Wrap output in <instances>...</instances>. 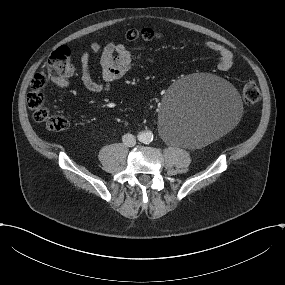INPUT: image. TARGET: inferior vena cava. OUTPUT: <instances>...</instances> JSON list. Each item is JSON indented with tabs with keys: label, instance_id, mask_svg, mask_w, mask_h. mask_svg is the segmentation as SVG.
<instances>
[{
	"label": "inferior vena cava",
	"instance_id": "1",
	"mask_svg": "<svg viewBox=\"0 0 285 285\" xmlns=\"http://www.w3.org/2000/svg\"><path fill=\"white\" fill-rule=\"evenodd\" d=\"M124 144L128 147H133L136 144L135 137L129 134L123 136Z\"/></svg>",
	"mask_w": 285,
	"mask_h": 285
}]
</instances>
